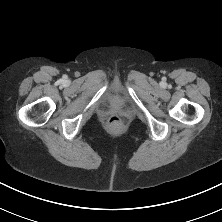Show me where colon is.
I'll return each instance as SVG.
<instances>
[{
	"label": "colon",
	"instance_id": "1",
	"mask_svg": "<svg viewBox=\"0 0 222 222\" xmlns=\"http://www.w3.org/2000/svg\"><path fill=\"white\" fill-rule=\"evenodd\" d=\"M108 124L111 126V127H114V128H119L123 125V121H122V118L118 115H113L109 118L108 120Z\"/></svg>",
	"mask_w": 222,
	"mask_h": 222
}]
</instances>
